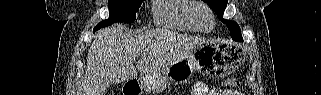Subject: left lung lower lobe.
<instances>
[{
	"mask_svg": "<svg viewBox=\"0 0 321 95\" xmlns=\"http://www.w3.org/2000/svg\"><path fill=\"white\" fill-rule=\"evenodd\" d=\"M233 40H236V41H242V37L238 38V39H233Z\"/></svg>",
	"mask_w": 321,
	"mask_h": 95,
	"instance_id": "obj_1",
	"label": "left lung lower lobe"
}]
</instances>
